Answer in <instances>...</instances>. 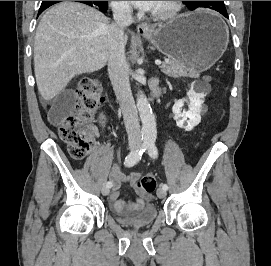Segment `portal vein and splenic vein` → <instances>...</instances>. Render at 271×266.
I'll list each match as a JSON object with an SVG mask.
<instances>
[{"instance_id":"portal-vein-and-splenic-vein-1","label":"portal vein and splenic vein","mask_w":271,"mask_h":266,"mask_svg":"<svg viewBox=\"0 0 271 266\" xmlns=\"http://www.w3.org/2000/svg\"><path fill=\"white\" fill-rule=\"evenodd\" d=\"M90 51L93 52V49H91ZM155 64L157 66H160L162 64V61L161 60H155Z\"/></svg>"}]
</instances>
